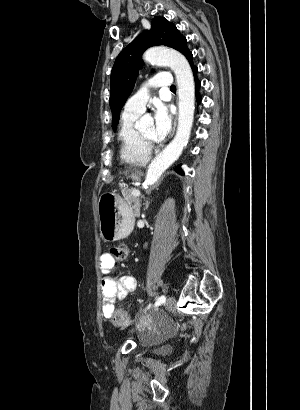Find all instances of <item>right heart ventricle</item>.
I'll use <instances>...</instances> for the list:
<instances>
[{
	"instance_id": "obj_1",
	"label": "right heart ventricle",
	"mask_w": 300,
	"mask_h": 410,
	"mask_svg": "<svg viewBox=\"0 0 300 410\" xmlns=\"http://www.w3.org/2000/svg\"><path fill=\"white\" fill-rule=\"evenodd\" d=\"M139 115L140 113L124 111L118 130L120 158L131 165H143L151 157L150 147L142 140L135 127Z\"/></svg>"
}]
</instances>
